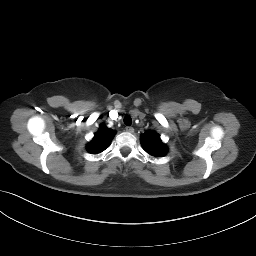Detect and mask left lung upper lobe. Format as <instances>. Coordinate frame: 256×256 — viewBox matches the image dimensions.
Masks as SVG:
<instances>
[{
  "mask_svg": "<svg viewBox=\"0 0 256 256\" xmlns=\"http://www.w3.org/2000/svg\"><path fill=\"white\" fill-rule=\"evenodd\" d=\"M144 150L152 156L161 157L167 152V147L161 142L160 135L154 131H147L140 137Z\"/></svg>",
  "mask_w": 256,
  "mask_h": 256,
  "instance_id": "obj_1",
  "label": "left lung upper lobe"
}]
</instances>
